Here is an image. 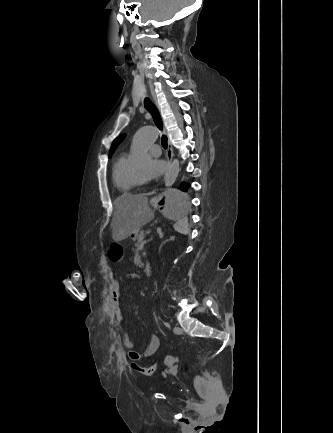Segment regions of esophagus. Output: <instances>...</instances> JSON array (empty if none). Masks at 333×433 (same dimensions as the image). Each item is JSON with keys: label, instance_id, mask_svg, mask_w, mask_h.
<instances>
[{"label": "esophagus", "instance_id": "34e87169", "mask_svg": "<svg viewBox=\"0 0 333 433\" xmlns=\"http://www.w3.org/2000/svg\"><path fill=\"white\" fill-rule=\"evenodd\" d=\"M166 158H167V163H168V167H169L171 165L172 158H173V147H172V144H171L169 139H168Z\"/></svg>", "mask_w": 333, "mask_h": 433}]
</instances>
